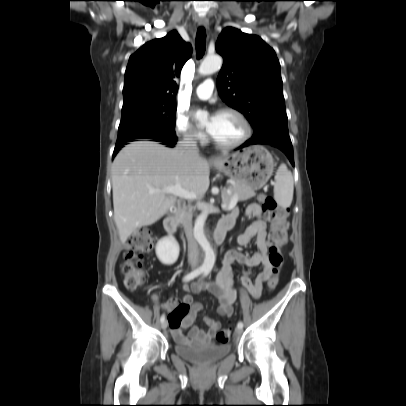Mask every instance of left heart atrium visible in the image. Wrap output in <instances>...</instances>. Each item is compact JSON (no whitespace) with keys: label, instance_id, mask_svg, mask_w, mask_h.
<instances>
[{"label":"left heart atrium","instance_id":"left-heart-atrium-1","mask_svg":"<svg viewBox=\"0 0 406 406\" xmlns=\"http://www.w3.org/2000/svg\"><path fill=\"white\" fill-rule=\"evenodd\" d=\"M215 116H216V115H213V116L210 118V119H211V122H214Z\"/></svg>","mask_w":406,"mask_h":406}]
</instances>
